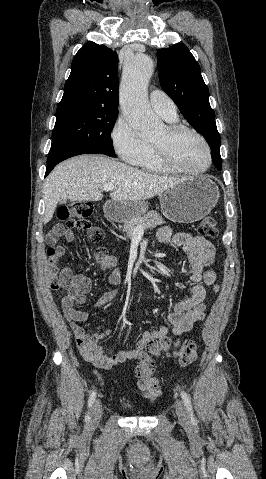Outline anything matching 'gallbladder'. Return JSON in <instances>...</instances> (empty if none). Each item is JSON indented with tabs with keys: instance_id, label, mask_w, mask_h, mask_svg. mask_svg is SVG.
I'll list each match as a JSON object with an SVG mask.
<instances>
[{
	"instance_id": "bac80fb5",
	"label": "gallbladder",
	"mask_w": 266,
	"mask_h": 479,
	"mask_svg": "<svg viewBox=\"0 0 266 479\" xmlns=\"http://www.w3.org/2000/svg\"><path fill=\"white\" fill-rule=\"evenodd\" d=\"M59 203H60V204H65V203H67V199H66V198H62V199L59 200Z\"/></svg>"
}]
</instances>
